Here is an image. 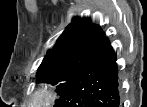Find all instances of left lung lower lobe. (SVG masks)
Here are the masks:
<instances>
[{
	"instance_id": "1",
	"label": "left lung lower lobe",
	"mask_w": 147,
	"mask_h": 107,
	"mask_svg": "<svg viewBox=\"0 0 147 107\" xmlns=\"http://www.w3.org/2000/svg\"><path fill=\"white\" fill-rule=\"evenodd\" d=\"M54 107H120L116 54L107 38L69 81Z\"/></svg>"
}]
</instances>
